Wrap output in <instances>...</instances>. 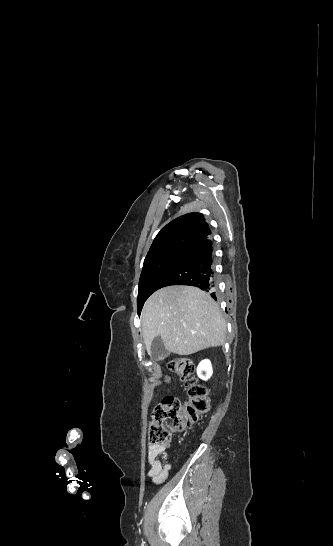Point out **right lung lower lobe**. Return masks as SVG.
Returning a JSON list of instances; mask_svg holds the SVG:
<instances>
[{"label":"right lung lower lobe","mask_w":333,"mask_h":546,"mask_svg":"<svg viewBox=\"0 0 333 546\" xmlns=\"http://www.w3.org/2000/svg\"><path fill=\"white\" fill-rule=\"evenodd\" d=\"M213 263V242L209 237L189 249L173 264L157 281L155 289L169 285H190L209 292L216 300Z\"/></svg>","instance_id":"98d812e1"}]
</instances>
